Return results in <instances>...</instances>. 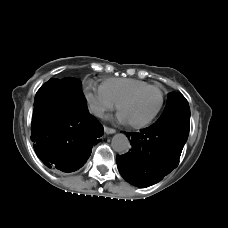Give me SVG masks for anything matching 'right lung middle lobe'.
I'll use <instances>...</instances> for the list:
<instances>
[{"instance_id":"dd1d6c3e","label":"right lung middle lobe","mask_w":228,"mask_h":228,"mask_svg":"<svg viewBox=\"0 0 228 228\" xmlns=\"http://www.w3.org/2000/svg\"><path fill=\"white\" fill-rule=\"evenodd\" d=\"M49 82L59 86L62 89V93L67 97L69 101L77 100L82 96L81 82L76 78H64L62 80L52 78Z\"/></svg>"}]
</instances>
